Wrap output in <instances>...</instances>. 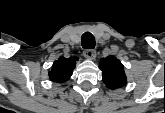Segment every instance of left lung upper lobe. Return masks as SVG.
Here are the masks:
<instances>
[{
	"label": "left lung upper lobe",
	"instance_id": "1",
	"mask_svg": "<svg viewBox=\"0 0 165 113\" xmlns=\"http://www.w3.org/2000/svg\"><path fill=\"white\" fill-rule=\"evenodd\" d=\"M100 64L103 81L109 88L115 89L126 84L124 67L118 59L109 56L101 59Z\"/></svg>",
	"mask_w": 165,
	"mask_h": 113
}]
</instances>
